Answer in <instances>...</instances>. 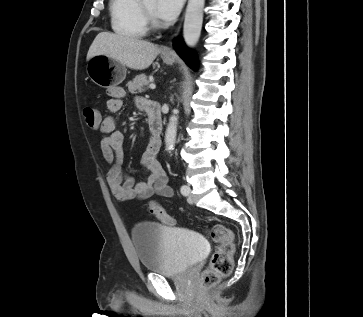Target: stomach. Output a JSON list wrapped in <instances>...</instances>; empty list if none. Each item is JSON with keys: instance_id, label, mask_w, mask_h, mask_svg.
I'll use <instances>...</instances> for the list:
<instances>
[{"instance_id": "obj_1", "label": "stomach", "mask_w": 363, "mask_h": 317, "mask_svg": "<svg viewBox=\"0 0 363 317\" xmlns=\"http://www.w3.org/2000/svg\"><path fill=\"white\" fill-rule=\"evenodd\" d=\"M162 59L167 65L174 63L173 57L162 56ZM126 71L125 65L106 55L93 56L86 65L88 77L103 88L119 85L125 79Z\"/></svg>"}]
</instances>
